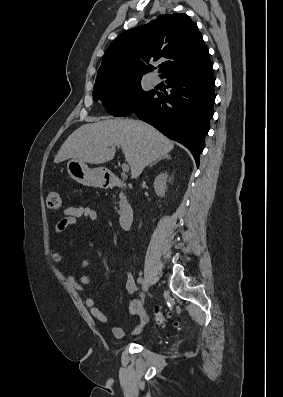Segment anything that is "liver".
Returning a JSON list of instances; mask_svg holds the SVG:
<instances>
[{"instance_id":"6515ba94","label":"liver","mask_w":283,"mask_h":397,"mask_svg":"<svg viewBox=\"0 0 283 397\" xmlns=\"http://www.w3.org/2000/svg\"><path fill=\"white\" fill-rule=\"evenodd\" d=\"M116 147H121L132 178L136 179L147 165L167 155L174 144L144 122L110 119L85 124L75 130L61 146L54 162L72 158L103 164L114 158Z\"/></svg>"}]
</instances>
